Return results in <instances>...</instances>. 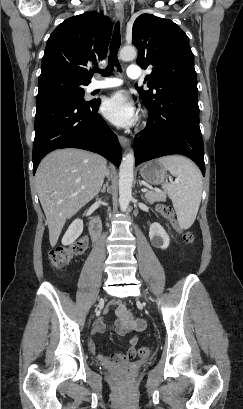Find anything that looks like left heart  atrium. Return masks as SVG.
I'll return each mask as SVG.
<instances>
[{"mask_svg": "<svg viewBox=\"0 0 243 409\" xmlns=\"http://www.w3.org/2000/svg\"><path fill=\"white\" fill-rule=\"evenodd\" d=\"M104 116L119 127L130 126L136 121V109L125 91H117L105 99L102 105Z\"/></svg>", "mask_w": 243, "mask_h": 409, "instance_id": "39dd6f15", "label": "left heart atrium"}]
</instances>
